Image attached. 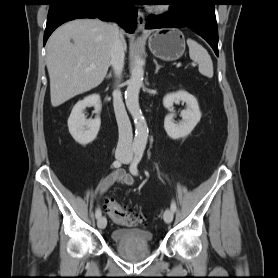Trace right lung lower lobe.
I'll use <instances>...</instances> for the list:
<instances>
[{"label":"right lung lower lobe","mask_w":278,"mask_h":278,"mask_svg":"<svg viewBox=\"0 0 278 278\" xmlns=\"http://www.w3.org/2000/svg\"><path fill=\"white\" fill-rule=\"evenodd\" d=\"M137 10L130 0H51L44 33V45L64 22L78 18L114 20L129 33L137 25Z\"/></svg>","instance_id":"right-lung-lower-lobe-1"}]
</instances>
